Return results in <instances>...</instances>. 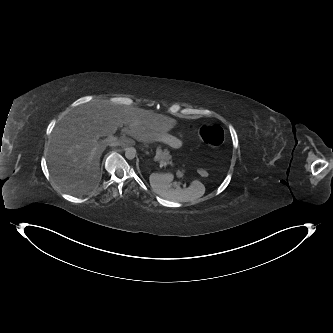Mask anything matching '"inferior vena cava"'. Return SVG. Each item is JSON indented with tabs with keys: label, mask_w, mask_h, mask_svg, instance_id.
Listing matches in <instances>:
<instances>
[{
	"label": "inferior vena cava",
	"mask_w": 333,
	"mask_h": 333,
	"mask_svg": "<svg viewBox=\"0 0 333 333\" xmlns=\"http://www.w3.org/2000/svg\"><path fill=\"white\" fill-rule=\"evenodd\" d=\"M109 146H111V147H116V146H119V143H117V142H112V143L109 144Z\"/></svg>",
	"instance_id": "602c4592"
}]
</instances>
